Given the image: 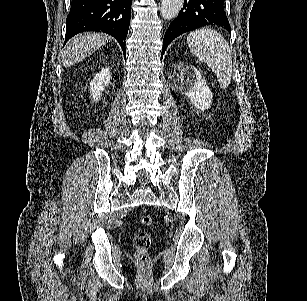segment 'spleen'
<instances>
[{"label": "spleen", "instance_id": "spleen-1", "mask_svg": "<svg viewBox=\"0 0 307 301\" xmlns=\"http://www.w3.org/2000/svg\"><path fill=\"white\" fill-rule=\"evenodd\" d=\"M187 44L192 52L202 62L215 72L220 88H228L232 74L233 62L230 46L217 30L197 28L187 36Z\"/></svg>", "mask_w": 307, "mask_h": 301}]
</instances>
